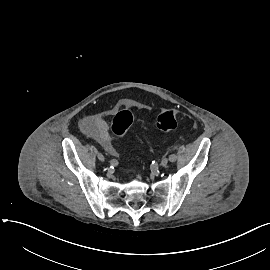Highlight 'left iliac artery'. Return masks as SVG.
Here are the masks:
<instances>
[{
  "mask_svg": "<svg viewBox=\"0 0 270 270\" xmlns=\"http://www.w3.org/2000/svg\"><path fill=\"white\" fill-rule=\"evenodd\" d=\"M176 159H177V156L175 154H172V155L169 156V161L170 162H175Z\"/></svg>",
  "mask_w": 270,
  "mask_h": 270,
  "instance_id": "44dca946",
  "label": "left iliac artery"
}]
</instances>
